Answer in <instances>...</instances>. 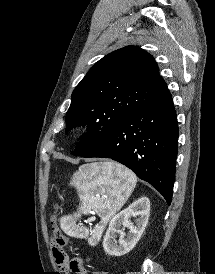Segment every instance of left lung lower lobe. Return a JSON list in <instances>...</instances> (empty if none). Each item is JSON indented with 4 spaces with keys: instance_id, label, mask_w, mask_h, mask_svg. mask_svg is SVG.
Instances as JSON below:
<instances>
[{
    "instance_id": "left-lung-lower-lobe-1",
    "label": "left lung lower lobe",
    "mask_w": 215,
    "mask_h": 274,
    "mask_svg": "<svg viewBox=\"0 0 215 274\" xmlns=\"http://www.w3.org/2000/svg\"><path fill=\"white\" fill-rule=\"evenodd\" d=\"M178 123L168 88L124 118L82 155L110 158L153 185L170 205L178 152Z\"/></svg>"
}]
</instances>
